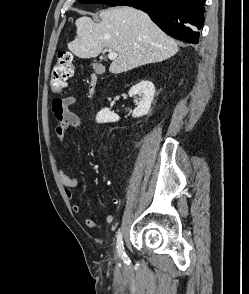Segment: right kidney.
<instances>
[{
  "label": "right kidney",
  "instance_id": "obj_1",
  "mask_svg": "<svg viewBox=\"0 0 249 294\" xmlns=\"http://www.w3.org/2000/svg\"><path fill=\"white\" fill-rule=\"evenodd\" d=\"M129 95L130 97H135V95L140 96L134 100L136 108L133 111V117H141L150 113V106L155 95V87L151 81L143 80L134 85L129 90ZM119 119V116L111 112L108 108H103L96 116V122L98 123L116 122Z\"/></svg>",
  "mask_w": 249,
  "mask_h": 294
}]
</instances>
